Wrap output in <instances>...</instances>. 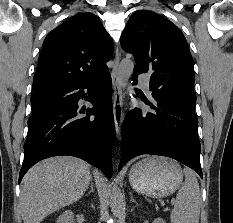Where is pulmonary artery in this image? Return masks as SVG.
Wrapping results in <instances>:
<instances>
[{
  "mask_svg": "<svg viewBox=\"0 0 233 223\" xmlns=\"http://www.w3.org/2000/svg\"><path fill=\"white\" fill-rule=\"evenodd\" d=\"M139 83L148 93H150V74H139Z\"/></svg>",
  "mask_w": 233,
  "mask_h": 223,
  "instance_id": "obj_1",
  "label": "pulmonary artery"
}]
</instances>
